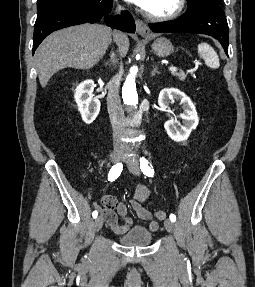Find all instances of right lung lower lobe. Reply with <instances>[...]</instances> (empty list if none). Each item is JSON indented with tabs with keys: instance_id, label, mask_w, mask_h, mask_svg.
Masks as SVG:
<instances>
[{
	"instance_id": "right-lung-lower-lobe-1",
	"label": "right lung lower lobe",
	"mask_w": 255,
	"mask_h": 287,
	"mask_svg": "<svg viewBox=\"0 0 255 287\" xmlns=\"http://www.w3.org/2000/svg\"><path fill=\"white\" fill-rule=\"evenodd\" d=\"M112 6L104 13H97L89 8H69L52 11L37 17L34 26L32 52L34 53L45 37L53 31L83 23H95L101 19L104 20L107 26L133 33L136 29L132 15L128 11H124L122 15L108 16L107 14L110 13Z\"/></svg>"
}]
</instances>
